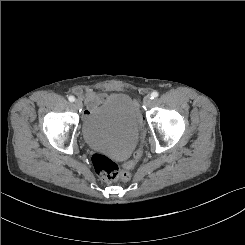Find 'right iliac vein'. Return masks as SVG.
<instances>
[{"label":"right iliac vein","instance_id":"right-iliac-vein-1","mask_svg":"<svg viewBox=\"0 0 245 245\" xmlns=\"http://www.w3.org/2000/svg\"><path fill=\"white\" fill-rule=\"evenodd\" d=\"M74 104H75V106L77 108H81L82 107V102L79 99L75 100Z\"/></svg>","mask_w":245,"mask_h":245}]
</instances>
